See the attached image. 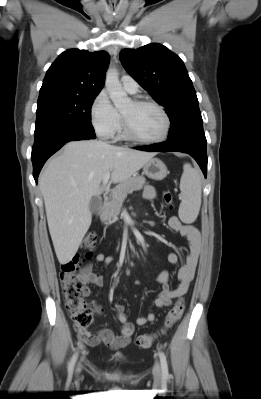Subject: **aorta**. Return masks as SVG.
<instances>
[{"label":"aorta","instance_id":"aorta-1","mask_svg":"<svg viewBox=\"0 0 261 399\" xmlns=\"http://www.w3.org/2000/svg\"><path fill=\"white\" fill-rule=\"evenodd\" d=\"M105 86L114 106L117 109H122L131 102V99L127 96L119 81V74L117 69L109 68L107 70L105 77Z\"/></svg>","mask_w":261,"mask_h":399}]
</instances>
